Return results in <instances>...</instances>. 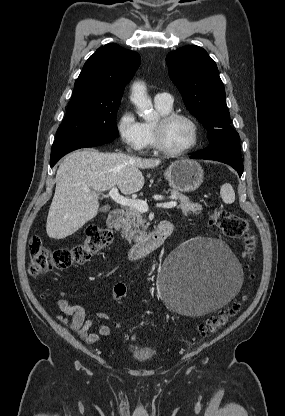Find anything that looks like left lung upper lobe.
Segmentation results:
<instances>
[{
    "label": "left lung upper lobe",
    "instance_id": "left-lung-upper-lobe-1",
    "mask_svg": "<svg viewBox=\"0 0 285 416\" xmlns=\"http://www.w3.org/2000/svg\"><path fill=\"white\" fill-rule=\"evenodd\" d=\"M166 63L185 106L208 130L210 143L239 139V134L230 126L224 85L207 52L187 45L168 53Z\"/></svg>",
    "mask_w": 285,
    "mask_h": 416
}]
</instances>
